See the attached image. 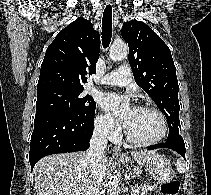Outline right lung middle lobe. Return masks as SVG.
<instances>
[{
    "label": "right lung middle lobe",
    "instance_id": "1",
    "mask_svg": "<svg viewBox=\"0 0 211 195\" xmlns=\"http://www.w3.org/2000/svg\"><path fill=\"white\" fill-rule=\"evenodd\" d=\"M83 89L54 88L37 93L36 115L59 112L69 115H89L96 103L90 95L83 96Z\"/></svg>",
    "mask_w": 211,
    "mask_h": 195
}]
</instances>
